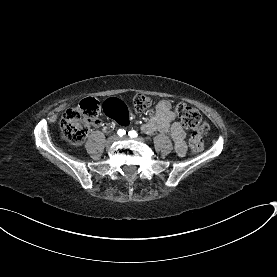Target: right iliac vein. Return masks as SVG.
<instances>
[{
	"mask_svg": "<svg viewBox=\"0 0 277 277\" xmlns=\"http://www.w3.org/2000/svg\"><path fill=\"white\" fill-rule=\"evenodd\" d=\"M118 140V137L116 135H112L110 136L107 140H106V145L110 146L112 145L114 142H116Z\"/></svg>",
	"mask_w": 277,
	"mask_h": 277,
	"instance_id": "right-iliac-vein-1",
	"label": "right iliac vein"
}]
</instances>
